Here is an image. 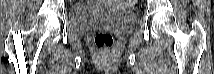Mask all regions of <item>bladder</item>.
Returning <instances> with one entry per match:
<instances>
[{
    "label": "bladder",
    "instance_id": "obj_1",
    "mask_svg": "<svg viewBox=\"0 0 214 74\" xmlns=\"http://www.w3.org/2000/svg\"><path fill=\"white\" fill-rule=\"evenodd\" d=\"M135 13L105 5L76 4L68 13V23L72 32L82 34L94 24H112L118 29L132 25Z\"/></svg>",
    "mask_w": 214,
    "mask_h": 74
}]
</instances>
